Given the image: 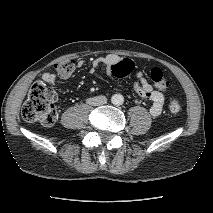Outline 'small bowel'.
Segmentation results:
<instances>
[{
    "label": "small bowel",
    "instance_id": "c3829d8e",
    "mask_svg": "<svg viewBox=\"0 0 213 213\" xmlns=\"http://www.w3.org/2000/svg\"><path fill=\"white\" fill-rule=\"evenodd\" d=\"M121 60L122 58L115 54H109L106 56L98 57L93 60L90 67V72L95 73L99 67L103 66L106 72L109 75H112L111 69L113 65H115ZM83 66V60H78L75 63V67L77 68H82ZM134 76L136 79L133 85L135 93L140 97L148 98L151 102V106L149 109L150 114L152 116H159L163 110L165 102L164 94L161 91H158L153 88V86L147 81L143 71L135 70ZM42 79L48 84H53L56 80V74L52 69H48L43 73Z\"/></svg>",
    "mask_w": 213,
    "mask_h": 213
}]
</instances>
